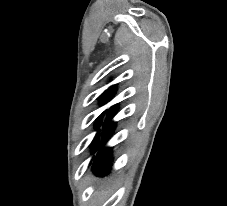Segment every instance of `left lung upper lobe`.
Returning <instances> with one entry per match:
<instances>
[{
	"label": "left lung upper lobe",
	"instance_id": "5c2ea615",
	"mask_svg": "<svg viewBox=\"0 0 227 206\" xmlns=\"http://www.w3.org/2000/svg\"><path fill=\"white\" fill-rule=\"evenodd\" d=\"M113 90H115V86H111L109 87L108 90H106L100 97V101H102L103 103H105L106 101H108L112 95H113ZM105 111L98 117L96 125L99 124L100 120L102 119L103 115H104Z\"/></svg>",
	"mask_w": 227,
	"mask_h": 206
}]
</instances>
